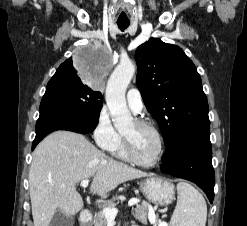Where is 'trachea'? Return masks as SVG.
I'll return each mask as SVG.
<instances>
[{"label":"trachea","mask_w":247,"mask_h":226,"mask_svg":"<svg viewBox=\"0 0 247 226\" xmlns=\"http://www.w3.org/2000/svg\"><path fill=\"white\" fill-rule=\"evenodd\" d=\"M130 23H117L120 30L124 31Z\"/></svg>","instance_id":"1"}]
</instances>
